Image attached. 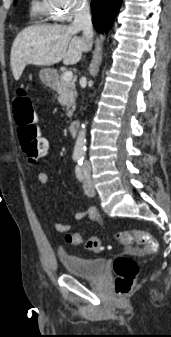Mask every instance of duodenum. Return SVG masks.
Returning a JSON list of instances; mask_svg holds the SVG:
<instances>
[{"label":"duodenum","mask_w":171,"mask_h":337,"mask_svg":"<svg viewBox=\"0 0 171 337\" xmlns=\"http://www.w3.org/2000/svg\"><path fill=\"white\" fill-rule=\"evenodd\" d=\"M79 129H80V123L78 121H72L68 125V131L73 136L77 135Z\"/></svg>","instance_id":"410a0bca"}]
</instances>
